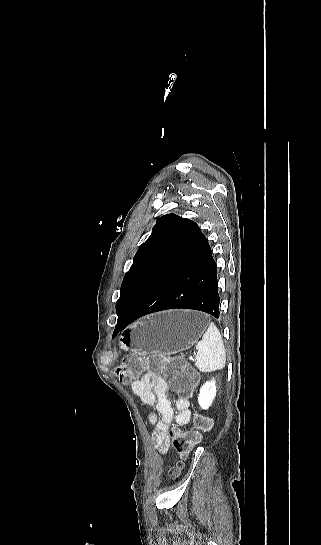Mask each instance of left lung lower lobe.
Returning <instances> with one entry per match:
<instances>
[{
    "instance_id": "1",
    "label": "left lung lower lobe",
    "mask_w": 321,
    "mask_h": 545,
    "mask_svg": "<svg viewBox=\"0 0 321 545\" xmlns=\"http://www.w3.org/2000/svg\"><path fill=\"white\" fill-rule=\"evenodd\" d=\"M173 308L219 317L217 266L208 240L191 220L129 313L118 316L115 331L144 315Z\"/></svg>"
}]
</instances>
